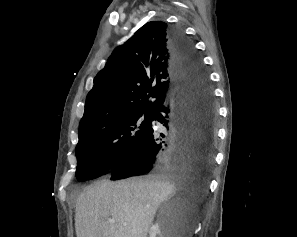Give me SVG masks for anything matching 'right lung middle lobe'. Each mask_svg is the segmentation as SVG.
Returning <instances> with one entry per match:
<instances>
[{
  "mask_svg": "<svg viewBox=\"0 0 297 237\" xmlns=\"http://www.w3.org/2000/svg\"><path fill=\"white\" fill-rule=\"evenodd\" d=\"M154 112H136L105 119L79 134L75 154L77 179L108 174L114 164L137 146L152 127Z\"/></svg>",
  "mask_w": 297,
  "mask_h": 237,
  "instance_id": "1",
  "label": "right lung middle lobe"
}]
</instances>
